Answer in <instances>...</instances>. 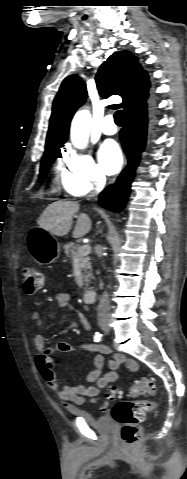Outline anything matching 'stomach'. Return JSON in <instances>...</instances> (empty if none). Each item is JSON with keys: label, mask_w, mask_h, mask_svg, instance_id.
<instances>
[{"label": "stomach", "mask_w": 187, "mask_h": 479, "mask_svg": "<svg viewBox=\"0 0 187 479\" xmlns=\"http://www.w3.org/2000/svg\"><path fill=\"white\" fill-rule=\"evenodd\" d=\"M27 247L31 257L40 265L53 263L60 255V244L48 231L36 227L27 235Z\"/></svg>", "instance_id": "stomach-1"}]
</instances>
